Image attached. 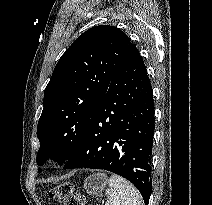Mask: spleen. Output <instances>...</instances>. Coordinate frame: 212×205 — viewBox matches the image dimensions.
<instances>
[{
  "label": "spleen",
  "instance_id": "1",
  "mask_svg": "<svg viewBox=\"0 0 212 205\" xmlns=\"http://www.w3.org/2000/svg\"><path fill=\"white\" fill-rule=\"evenodd\" d=\"M105 205H141L140 194L126 179L116 174L107 179Z\"/></svg>",
  "mask_w": 212,
  "mask_h": 205
}]
</instances>
